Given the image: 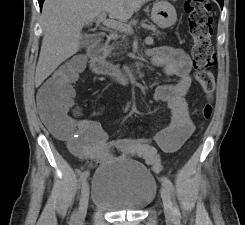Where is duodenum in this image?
I'll return each mask as SVG.
<instances>
[{
	"label": "duodenum",
	"instance_id": "duodenum-1",
	"mask_svg": "<svg viewBox=\"0 0 245 225\" xmlns=\"http://www.w3.org/2000/svg\"><path fill=\"white\" fill-rule=\"evenodd\" d=\"M108 43L109 36L106 33H99L94 43L88 47L87 53L92 72L110 77H118L124 81L134 79L137 75L136 70L142 65V61H139L137 65L130 64L126 69L104 61ZM147 55L146 53L145 56Z\"/></svg>",
	"mask_w": 245,
	"mask_h": 225
}]
</instances>
